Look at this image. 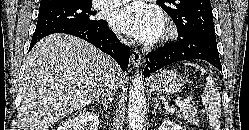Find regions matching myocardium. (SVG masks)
Wrapping results in <instances>:
<instances>
[{"label": "myocardium", "instance_id": "f54148a6", "mask_svg": "<svg viewBox=\"0 0 249 130\" xmlns=\"http://www.w3.org/2000/svg\"><path fill=\"white\" fill-rule=\"evenodd\" d=\"M177 34L176 27L172 24H168L165 26L163 34H162V39L163 40H168L173 37H175Z\"/></svg>", "mask_w": 249, "mask_h": 130}]
</instances>
